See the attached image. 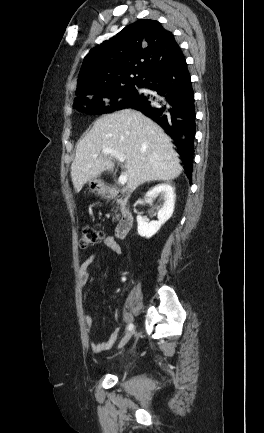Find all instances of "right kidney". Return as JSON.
<instances>
[{"instance_id":"1","label":"right kidney","mask_w":264,"mask_h":433,"mask_svg":"<svg viewBox=\"0 0 264 433\" xmlns=\"http://www.w3.org/2000/svg\"><path fill=\"white\" fill-rule=\"evenodd\" d=\"M161 195L164 199L162 208L158 211L157 221H148L141 215L137 216V231L142 237L150 238L158 232L161 226L170 219L174 211L175 205V193L174 188L168 184H159L152 190L147 192L146 196L153 199Z\"/></svg>"}]
</instances>
